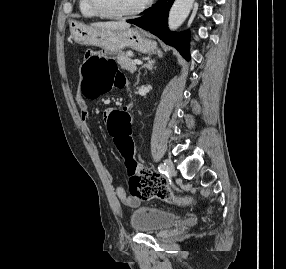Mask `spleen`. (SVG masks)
Instances as JSON below:
<instances>
[{"label":"spleen","instance_id":"spleen-1","mask_svg":"<svg viewBox=\"0 0 286 269\" xmlns=\"http://www.w3.org/2000/svg\"><path fill=\"white\" fill-rule=\"evenodd\" d=\"M159 57H162V53L161 51H158Z\"/></svg>","mask_w":286,"mask_h":269}]
</instances>
